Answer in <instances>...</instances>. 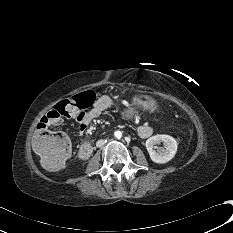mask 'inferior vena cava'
Here are the masks:
<instances>
[{
  "label": "inferior vena cava",
  "mask_w": 233,
  "mask_h": 233,
  "mask_svg": "<svg viewBox=\"0 0 233 233\" xmlns=\"http://www.w3.org/2000/svg\"><path fill=\"white\" fill-rule=\"evenodd\" d=\"M104 144H105V141H104V140H99V141H97L96 146H97V147H101V146H103Z\"/></svg>",
  "instance_id": "obj_1"
}]
</instances>
